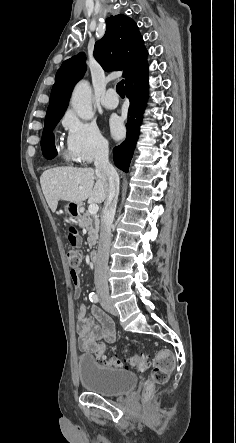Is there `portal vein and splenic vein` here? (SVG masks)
I'll use <instances>...</instances> for the list:
<instances>
[{
  "label": "portal vein and splenic vein",
  "instance_id": "1",
  "mask_svg": "<svg viewBox=\"0 0 236 443\" xmlns=\"http://www.w3.org/2000/svg\"><path fill=\"white\" fill-rule=\"evenodd\" d=\"M98 209H99V207H98L97 204H90V205H89V208H88V212H89L91 215H95V214H97Z\"/></svg>",
  "mask_w": 236,
  "mask_h": 443
}]
</instances>
